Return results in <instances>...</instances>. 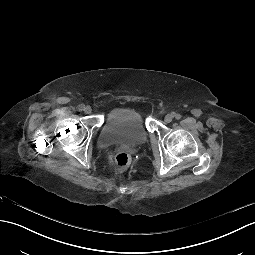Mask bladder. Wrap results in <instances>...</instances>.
<instances>
[{"label":"bladder","mask_w":255,"mask_h":255,"mask_svg":"<svg viewBox=\"0 0 255 255\" xmlns=\"http://www.w3.org/2000/svg\"><path fill=\"white\" fill-rule=\"evenodd\" d=\"M146 138L147 131L142 116L133 108H125L108 117L98 141L105 144L117 142L140 144Z\"/></svg>","instance_id":"1"}]
</instances>
